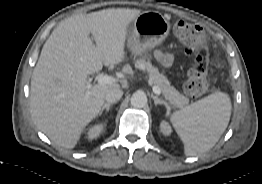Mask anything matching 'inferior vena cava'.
Returning <instances> with one entry per match:
<instances>
[{"label": "inferior vena cava", "instance_id": "1", "mask_svg": "<svg viewBox=\"0 0 262 184\" xmlns=\"http://www.w3.org/2000/svg\"><path fill=\"white\" fill-rule=\"evenodd\" d=\"M123 95V91L120 88H114L107 92L105 100L107 103H115L120 100Z\"/></svg>", "mask_w": 262, "mask_h": 184}]
</instances>
